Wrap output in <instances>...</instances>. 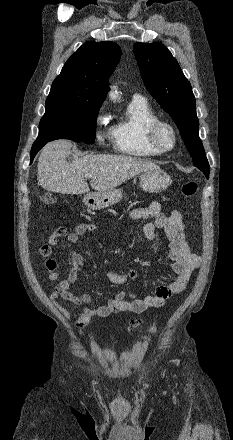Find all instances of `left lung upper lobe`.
<instances>
[{"mask_svg":"<svg viewBox=\"0 0 233 440\" xmlns=\"http://www.w3.org/2000/svg\"><path fill=\"white\" fill-rule=\"evenodd\" d=\"M134 54L146 88L173 118L194 165H207L198 135L195 97L178 62L161 43H136Z\"/></svg>","mask_w":233,"mask_h":440,"instance_id":"1","label":"left lung upper lobe"}]
</instances>
